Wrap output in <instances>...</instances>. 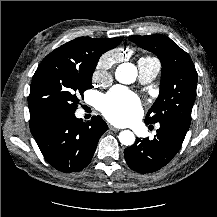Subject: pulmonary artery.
<instances>
[{"label": "pulmonary artery", "mask_w": 217, "mask_h": 217, "mask_svg": "<svg viewBox=\"0 0 217 217\" xmlns=\"http://www.w3.org/2000/svg\"><path fill=\"white\" fill-rule=\"evenodd\" d=\"M139 79L141 83H150L153 81L160 70L158 61L154 59H141L138 62Z\"/></svg>", "instance_id": "obj_1"}]
</instances>
